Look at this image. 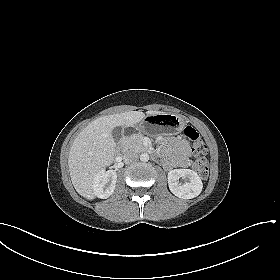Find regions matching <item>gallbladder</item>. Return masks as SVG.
Wrapping results in <instances>:
<instances>
[{
	"label": "gallbladder",
	"mask_w": 280,
	"mask_h": 280,
	"mask_svg": "<svg viewBox=\"0 0 280 280\" xmlns=\"http://www.w3.org/2000/svg\"><path fill=\"white\" fill-rule=\"evenodd\" d=\"M122 131H123V129H122V127H120V126L113 128V130H112V136H113L114 141H115L116 143L120 142V140H121V138H122Z\"/></svg>",
	"instance_id": "obj_1"
}]
</instances>
